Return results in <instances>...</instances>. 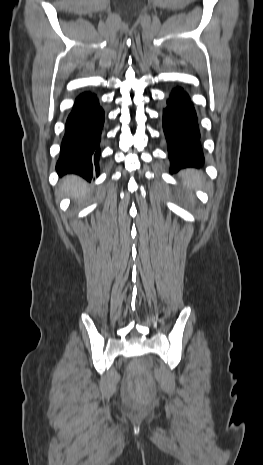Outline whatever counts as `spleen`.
I'll list each match as a JSON object with an SVG mask.
<instances>
[{
    "instance_id": "3e777b00",
    "label": "spleen",
    "mask_w": 263,
    "mask_h": 465,
    "mask_svg": "<svg viewBox=\"0 0 263 465\" xmlns=\"http://www.w3.org/2000/svg\"><path fill=\"white\" fill-rule=\"evenodd\" d=\"M184 183L188 186H194L201 181L200 174L193 170H187L183 173Z\"/></svg>"
}]
</instances>
